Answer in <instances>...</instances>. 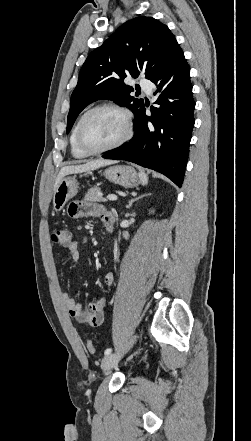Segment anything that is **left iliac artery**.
I'll return each mask as SVG.
<instances>
[{
	"mask_svg": "<svg viewBox=\"0 0 251 441\" xmlns=\"http://www.w3.org/2000/svg\"><path fill=\"white\" fill-rule=\"evenodd\" d=\"M112 352V348H108L105 350L104 354L109 355Z\"/></svg>",
	"mask_w": 251,
	"mask_h": 441,
	"instance_id": "44dca946",
	"label": "left iliac artery"
}]
</instances>
